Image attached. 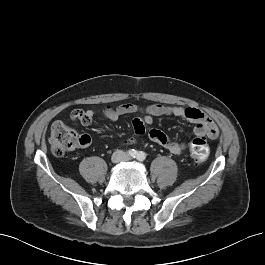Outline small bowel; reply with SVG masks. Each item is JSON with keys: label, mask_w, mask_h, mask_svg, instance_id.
<instances>
[{"label": "small bowel", "mask_w": 265, "mask_h": 265, "mask_svg": "<svg viewBox=\"0 0 265 265\" xmlns=\"http://www.w3.org/2000/svg\"><path fill=\"white\" fill-rule=\"evenodd\" d=\"M94 114L93 110L77 109L72 111L71 118L84 126H89L92 123ZM127 114H139L140 116L132 120L135 137L123 139L121 143L124 145L135 144L138 137L146 134V125L151 124L153 118L158 116L181 117L196 124L195 133L197 135L207 136L211 139L218 136L216 124L203 111L197 108L167 106L156 103L142 108L136 104L124 103L116 107L108 105L103 110L104 117L111 122H115L119 117ZM147 134L151 141L161 145L172 154L180 155L186 148L185 144L170 139L161 130L150 129ZM90 142L91 139L88 135H82V146H88Z\"/></svg>", "instance_id": "small-bowel-1"}]
</instances>
